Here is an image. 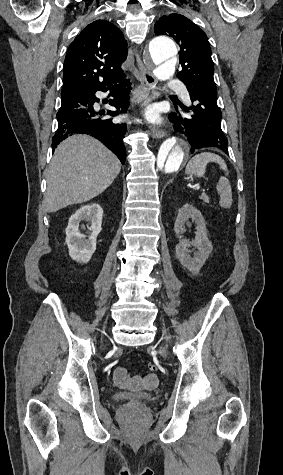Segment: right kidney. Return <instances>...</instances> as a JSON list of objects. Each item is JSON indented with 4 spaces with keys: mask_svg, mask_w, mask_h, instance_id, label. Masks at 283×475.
<instances>
[{
    "mask_svg": "<svg viewBox=\"0 0 283 475\" xmlns=\"http://www.w3.org/2000/svg\"><path fill=\"white\" fill-rule=\"evenodd\" d=\"M102 216L103 210L99 204H86L69 218L66 228V243L69 247L70 257L78 263H87L91 259L96 249V238L102 230ZM81 222H89L90 226L87 224L89 236L81 234L79 228ZM81 230H86L85 226H81Z\"/></svg>",
    "mask_w": 283,
    "mask_h": 475,
    "instance_id": "right-kidney-1",
    "label": "right kidney"
}]
</instances>
